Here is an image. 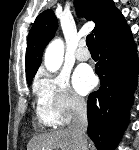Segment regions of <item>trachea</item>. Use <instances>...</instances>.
I'll return each instance as SVG.
<instances>
[{"mask_svg":"<svg viewBox=\"0 0 139 150\" xmlns=\"http://www.w3.org/2000/svg\"><path fill=\"white\" fill-rule=\"evenodd\" d=\"M86 44H87L89 49H95L96 48V44H95V40H94V35L93 34H89L87 36Z\"/></svg>","mask_w":139,"mask_h":150,"instance_id":"trachea-1","label":"trachea"}]
</instances>
